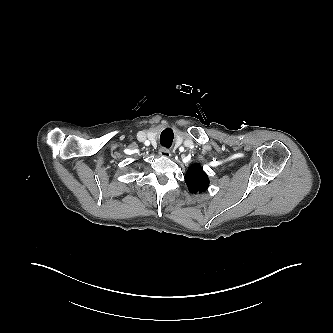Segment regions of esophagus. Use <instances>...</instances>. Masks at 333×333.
I'll list each match as a JSON object with an SVG mask.
<instances>
[{
    "mask_svg": "<svg viewBox=\"0 0 333 333\" xmlns=\"http://www.w3.org/2000/svg\"><path fill=\"white\" fill-rule=\"evenodd\" d=\"M159 155L161 157L169 158V157H171V152L166 148H161L159 150Z\"/></svg>",
    "mask_w": 333,
    "mask_h": 333,
    "instance_id": "obj_1",
    "label": "esophagus"
}]
</instances>
